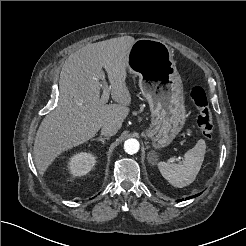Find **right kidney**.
<instances>
[{"label": "right kidney", "instance_id": "obj_1", "mask_svg": "<svg viewBox=\"0 0 246 246\" xmlns=\"http://www.w3.org/2000/svg\"><path fill=\"white\" fill-rule=\"evenodd\" d=\"M96 158L89 152L74 154L68 161L67 168L73 176L86 175L95 165Z\"/></svg>", "mask_w": 246, "mask_h": 246}]
</instances>
